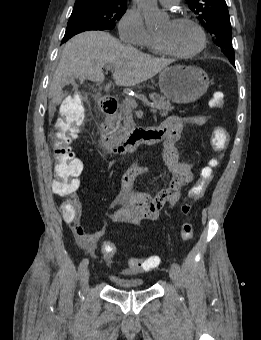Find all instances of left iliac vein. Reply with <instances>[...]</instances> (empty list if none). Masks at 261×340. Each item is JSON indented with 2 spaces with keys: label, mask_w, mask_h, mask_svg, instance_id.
Wrapping results in <instances>:
<instances>
[{
  "label": "left iliac vein",
  "mask_w": 261,
  "mask_h": 340,
  "mask_svg": "<svg viewBox=\"0 0 261 340\" xmlns=\"http://www.w3.org/2000/svg\"><path fill=\"white\" fill-rule=\"evenodd\" d=\"M169 276L172 279V281L175 284H178L179 282V275H178V271L175 270L174 268L171 267V269L169 270Z\"/></svg>",
  "instance_id": "4c4485c4"
}]
</instances>
